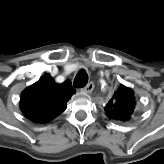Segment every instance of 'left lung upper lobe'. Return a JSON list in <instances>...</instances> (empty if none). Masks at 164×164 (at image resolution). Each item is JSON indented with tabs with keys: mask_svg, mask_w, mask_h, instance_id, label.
Returning <instances> with one entry per match:
<instances>
[{
	"mask_svg": "<svg viewBox=\"0 0 164 164\" xmlns=\"http://www.w3.org/2000/svg\"><path fill=\"white\" fill-rule=\"evenodd\" d=\"M134 108L135 99L133 91L121 85L104 109L110 119L126 121L130 119Z\"/></svg>",
	"mask_w": 164,
	"mask_h": 164,
	"instance_id": "5c2ea615",
	"label": "left lung upper lobe"
}]
</instances>
